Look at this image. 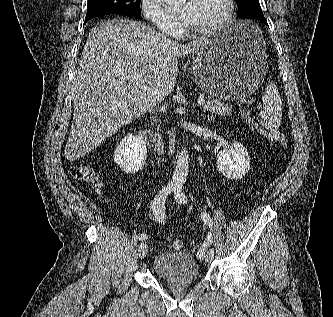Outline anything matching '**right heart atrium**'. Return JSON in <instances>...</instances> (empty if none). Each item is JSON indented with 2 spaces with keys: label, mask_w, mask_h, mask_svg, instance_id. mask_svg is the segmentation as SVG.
<instances>
[{
  "label": "right heart atrium",
  "mask_w": 333,
  "mask_h": 317,
  "mask_svg": "<svg viewBox=\"0 0 333 317\" xmlns=\"http://www.w3.org/2000/svg\"><path fill=\"white\" fill-rule=\"evenodd\" d=\"M143 16L160 31L175 35L181 31V25L162 7L159 0H142Z\"/></svg>",
  "instance_id": "1"
}]
</instances>
